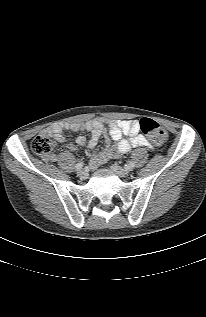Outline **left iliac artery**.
<instances>
[{
	"instance_id": "1",
	"label": "left iliac artery",
	"mask_w": 206,
	"mask_h": 317,
	"mask_svg": "<svg viewBox=\"0 0 206 317\" xmlns=\"http://www.w3.org/2000/svg\"><path fill=\"white\" fill-rule=\"evenodd\" d=\"M127 169L132 170L135 167V163L133 161H130L128 165H126Z\"/></svg>"
}]
</instances>
